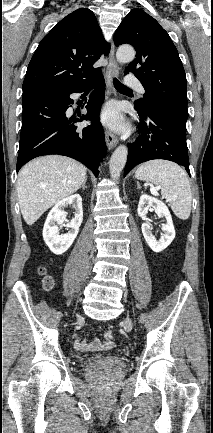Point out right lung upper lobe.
I'll return each instance as SVG.
<instances>
[{
    "mask_svg": "<svg viewBox=\"0 0 213 433\" xmlns=\"http://www.w3.org/2000/svg\"><path fill=\"white\" fill-rule=\"evenodd\" d=\"M94 13L79 8L63 18L41 40L28 65L22 89L66 91L93 79L100 68L93 64L107 55Z\"/></svg>",
    "mask_w": 213,
    "mask_h": 433,
    "instance_id": "cb5924a9",
    "label": "right lung upper lobe"
}]
</instances>
